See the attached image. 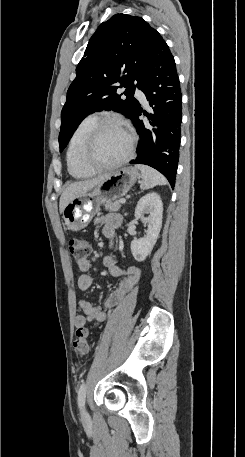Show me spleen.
Segmentation results:
<instances>
[{"mask_svg": "<svg viewBox=\"0 0 245 457\" xmlns=\"http://www.w3.org/2000/svg\"><path fill=\"white\" fill-rule=\"evenodd\" d=\"M136 168H139L141 170V184L140 188H153V186H156V184H167V180L161 172H158V170H154V168H151V166H145V164H136Z\"/></svg>", "mask_w": 245, "mask_h": 457, "instance_id": "spleen-1", "label": "spleen"}]
</instances>
